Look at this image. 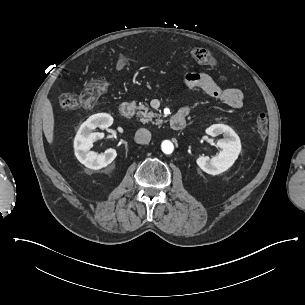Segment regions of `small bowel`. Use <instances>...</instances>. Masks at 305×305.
<instances>
[{
  "instance_id": "obj_1",
  "label": "small bowel",
  "mask_w": 305,
  "mask_h": 305,
  "mask_svg": "<svg viewBox=\"0 0 305 305\" xmlns=\"http://www.w3.org/2000/svg\"><path fill=\"white\" fill-rule=\"evenodd\" d=\"M183 80L189 88L203 90L231 109L237 110L243 106L244 97L240 89L235 86L223 88L206 72L187 73ZM219 80L222 83H230V80L225 76L220 77ZM179 112L187 115L190 112V106L182 107Z\"/></svg>"
}]
</instances>
